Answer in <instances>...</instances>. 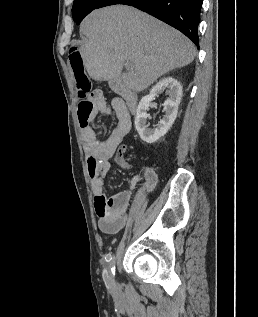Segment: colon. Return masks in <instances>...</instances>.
Returning <instances> with one entry per match:
<instances>
[{
	"instance_id": "1",
	"label": "colon",
	"mask_w": 258,
	"mask_h": 317,
	"mask_svg": "<svg viewBox=\"0 0 258 317\" xmlns=\"http://www.w3.org/2000/svg\"><path fill=\"white\" fill-rule=\"evenodd\" d=\"M68 59L76 80V90L81 101H85L92 89L91 79L89 78L82 55L76 46H72L68 52ZM126 147H118L115 154V161L120 165H126L125 160Z\"/></svg>"
}]
</instances>
